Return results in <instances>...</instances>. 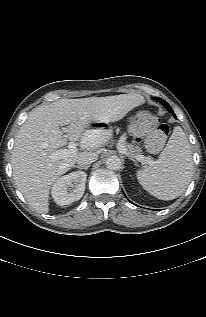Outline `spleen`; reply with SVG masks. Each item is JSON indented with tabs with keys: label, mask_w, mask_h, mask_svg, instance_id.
I'll list each match as a JSON object with an SVG mask.
<instances>
[{
	"label": "spleen",
	"mask_w": 206,
	"mask_h": 317,
	"mask_svg": "<svg viewBox=\"0 0 206 317\" xmlns=\"http://www.w3.org/2000/svg\"><path fill=\"white\" fill-rule=\"evenodd\" d=\"M193 168L187 136L180 126H176L159 159L138 170L136 175L151 195L161 200H172L187 188Z\"/></svg>",
	"instance_id": "1"
}]
</instances>
